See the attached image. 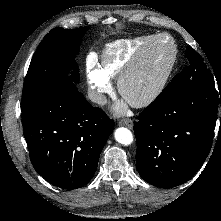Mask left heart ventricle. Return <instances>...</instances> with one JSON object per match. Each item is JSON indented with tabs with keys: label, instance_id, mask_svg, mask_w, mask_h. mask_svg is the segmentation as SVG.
<instances>
[{
	"label": "left heart ventricle",
	"instance_id": "left-heart-ventricle-1",
	"mask_svg": "<svg viewBox=\"0 0 221 221\" xmlns=\"http://www.w3.org/2000/svg\"><path fill=\"white\" fill-rule=\"evenodd\" d=\"M170 53L168 40H161L154 46L144 70L128 88L131 98H138L150 90L162 73Z\"/></svg>",
	"mask_w": 221,
	"mask_h": 221
}]
</instances>
